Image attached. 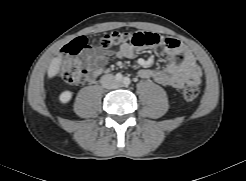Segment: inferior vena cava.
Segmentation results:
<instances>
[{"mask_svg":"<svg viewBox=\"0 0 246 181\" xmlns=\"http://www.w3.org/2000/svg\"><path fill=\"white\" fill-rule=\"evenodd\" d=\"M100 82L104 88L114 89L118 87V82L115 79V76L112 74L103 75L100 79Z\"/></svg>","mask_w":246,"mask_h":181,"instance_id":"1","label":"inferior vena cava"}]
</instances>
